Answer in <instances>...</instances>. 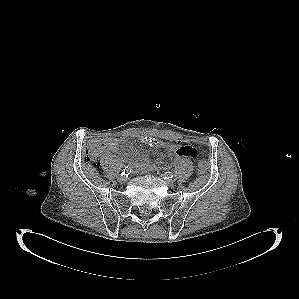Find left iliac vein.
I'll return each instance as SVG.
<instances>
[{
  "label": "left iliac vein",
  "instance_id": "left-iliac-vein-1",
  "mask_svg": "<svg viewBox=\"0 0 299 299\" xmlns=\"http://www.w3.org/2000/svg\"><path fill=\"white\" fill-rule=\"evenodd\" d=\"M164 181L170 187H172L174 185V180L173 179H165Z\"/></svg>",
  "mask_w": 299,
  "mask_h": 299
}]
</instances>
